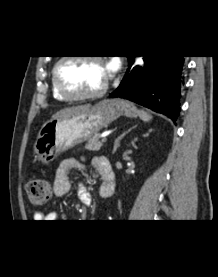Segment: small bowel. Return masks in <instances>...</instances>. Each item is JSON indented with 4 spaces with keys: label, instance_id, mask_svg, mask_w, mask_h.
<instances>
[{
    "label": "small bowel",
    "instance_id": "small-bowel-1",
    "mask_svg": "<svg viewBox=\"0 0 218 277\" xmlns=\"http://www.w3.org/2000/svg\"><path fill=\"white\" fill-rule=\"evenodd\" d=\"M98 158L99 157H96L91 161V166L98 172V174L102 178L103 176L106 175V170L104 168L98 167ZM82 168H84V166L77 159H74V158L63 159L60 162L55 172V179H54L55 195L57 196L66 195L71 188V180H70L71 174L73 173V171L80 170ZM109 176L112 177L113 180H110L108 182L107 194L111 195L113 193V187H114V174L112 171L111 164H110ZM78 198L80 202L84 205H90L92 203L91 194L82 183L78 184ZM57 216H58V213L55 211L48 212V213L38 211V212H35L33 215L35 222H52V220L57 219Z\"/></svg>",
    "mask_w": 218,
    "mask_h": 277
}]
</instances>
